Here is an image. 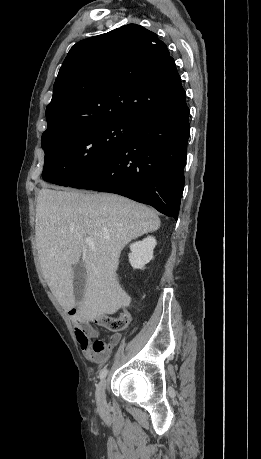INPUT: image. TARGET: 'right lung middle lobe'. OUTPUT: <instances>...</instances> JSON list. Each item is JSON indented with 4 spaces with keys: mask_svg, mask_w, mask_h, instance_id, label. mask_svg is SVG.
<instances>
[{
    "mask_svg": "<svg viewBox=\"0 0 261 459\" xmlns=\"http://www.w3.org/2000/svg\"><path fill=\"white\" fill-rule=\"evenodd\" d=\"M137 124L113 120L79 132L43 134V179L62 186L74 184L121 150Z\"/></svg>",
    "mask_w": 261,
    "mask_h": 459,
    "instance_id": "dd1d6c3e",
    "label": "right lung middle lobe"
}]
</instances>
